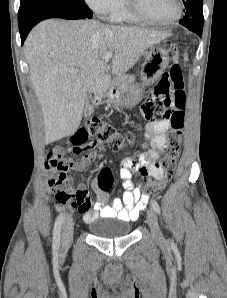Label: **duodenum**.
I'll use <instances>...</instances> for the list:
<instances>
[{
	"instance_id": "obj_1",
	"label": "duodenum",
	"mask_w": 227,
	"mask_h": 298,
	"mask_svg": "<svg viewBox=\"0 0 227 298\" xmlns=\"http://www.w3.org/2000/svg\"><path fill=\"white\" fill-rule=\"evenodd\" d=\"M113 94L117 93V90L116 89H113L112 91ZM106 95L105 94H101V95H98L96 98H95V101L97 103H101L102 101H104L106 99Z\"/></svg>"
}]
</instances>
